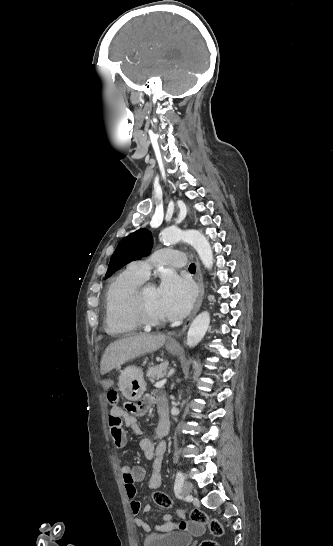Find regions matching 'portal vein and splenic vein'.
Listing matches in <instances>:
<instances>
[{
    "mask_svg": "<svg viewBox=\"0 0 333 546\" xmlns=\"http://www.w3.org/2000/svg\"><path fill=\"white\" fill-rule=\"evenodd\" d=\"M166 382H167V379L164 378V379L158 381V382L155 384V387H156V388H161L162 386H164V384H165Z\"/></svg>",
    "mask_w": 333,
    "mask_h": 546,
    "instance_id": "obj_1",
    "label": "portal vein and splenic vein"
}]
</instances>
